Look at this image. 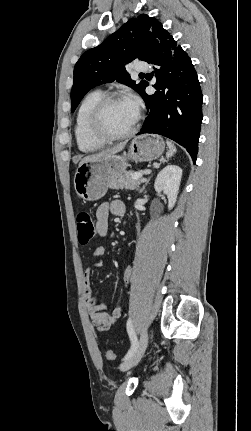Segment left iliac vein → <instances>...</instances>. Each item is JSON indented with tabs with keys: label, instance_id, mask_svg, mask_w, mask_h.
I'll use <instances>...</instances> for the list:
<instances>
[{
	"label": "left iliac vein",
	"instance_id": "obj_1",
	"mask_svg": "<svg viewBox=\"0 0 251 431\" xmlns=\"http://www.w3.org/2000/svg\"><path fill=\"white\" fill-rule=\"evenodd\" d=\"M147 344H148V332H147V327H144L142 329L136 350L130 357L124 360V362L120 365V370L127 371L132 367H134L135 365H137L145 353Z\"/></svg>",
	"mask_w": 251,
	"mask_h": 431
}]
</instances>
